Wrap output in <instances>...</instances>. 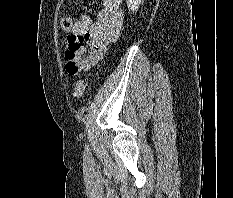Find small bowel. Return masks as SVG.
<instances>
[{"label":"small bowel","instance_id":"1","mask_svg":"<svg viewBox=\"0 0 233 198\" xmlns=\"http://www.w3.org/2000/svg\"><path fill=\"white\" fill-rule=\"evenodd\" d=\"M122 2L102 0V9L96 21L83 15L73 24L65 56L69 52L74 54L78 72L94 66L105 55L108 44L118 37L123 25Z\"/></svg>","mask_w":233,"mask_h":198}]
</instances>
